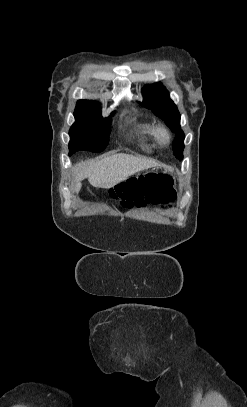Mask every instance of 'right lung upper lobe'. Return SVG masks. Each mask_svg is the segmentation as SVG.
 <instances>
[{
	"label": "right lung upper lobe",
	"instance_id": "obj_1",
	"mask_svg": "<svg viewBox=\"0 0 247 407\" xmlns=\"http://www.w3.org/2000/svg\"><path fill=\"white\" fill-rule=\"evenodd\" d=\"M94 105H99L96 101H91V100H79L77 102L76 107H88V106H94Z\"/></svg>",
	"mask_w": 247,
	"mask_h": 407
}]
</instances>
